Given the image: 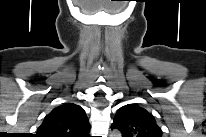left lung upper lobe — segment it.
I'll use <instances>...</instances> for the list:
<instances>
[{"mask_svg":"<svg viewBox=\"0 0 206 137\" xmlns=\"http://www.w3.org/2000/svg\"><path fill=\"white\" fill-rule=\"evenodd\" d=\"M111 128L120 130L123 137H161L162 135L153 115L136 104L121 107Z\"/></svg>","mask_w":206,"mask_h":137,"instance_id":"left-lung-upper-lobe-1","label":"left lung upper lobe"}]
</instances>
